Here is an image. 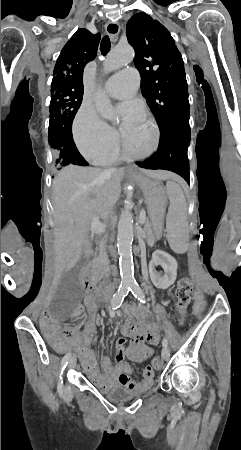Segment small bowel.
Here are the masks:
<instances>
[{"instance_id": "small-bowel-1", "label": "small bowel", "mask_w": 241, "mask_h": 450, "mask_svg": "<svg viewBox=\"0 0 241 450\" xmlns=\"http://www.w3.org/2000/svg\"><path fill=\"white\" fill-rule=\"evenodd\" d=\"M85 288L87 291L85 305L88 307L90 313L94 314L97 308L95 302L97 295L93 291L94 285L88 282ZM40 306L41 309L37 312V317L39 319H52L53 312L48 309L47 303L42 301ZM130 322L132 321L127 320L123 325L124 337L118 340L116 353L113 358L114 364H112V360L108 356H103L100 359L101 370L95 364L93 352L89 349V344L95 332L93 320L91 319L81 330L77 327H68L64 330L66 339L73 341L75 349L81 355L86 374L103 390L110 388L116 381L121 388L128 390L144 389L151 386L154 382V369L146 368L143 371L142 380L140 382H134L130 377L131 367L125 361V357L137 364H143L148 360L150 355H154L153 345L159 340V329L152 327L150 331H146L145 328H139L138 324H129ZM51 325L49 320L42 322L44 335H51ZM127 338H130V344L125 349L124 345L127 342ZM47 341L52 344H57L59 337L52 335L47 338Z\"/></svg>"}]
</instances>
